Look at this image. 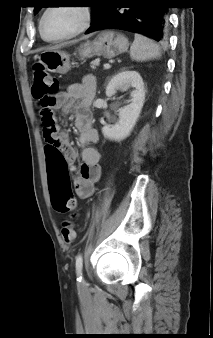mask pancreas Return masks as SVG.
I'll use <instances>...</instances> for the list:
<instances>
[{
	"label": "pancreas",
	"instance_id": "obj_1",
	"mask_svg": "<svg viewBox=\"0 0 213 338\" xmlns=\"http://www.w3.org/2000/svg\"><path fill=\"white\" fill-rule=\"evenodd\" d=\"M95 66H96V63H95V62H92V63H91V68H92V69H95Z\"/></svg>",
	"mask_w": 213,
	"mask_h": 338
}]
</instances>
